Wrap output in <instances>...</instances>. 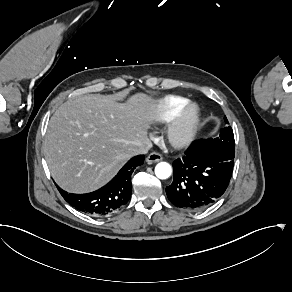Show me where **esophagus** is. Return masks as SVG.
<instances>
[{
    "label": "esophagus",
    "mask_w": 292,
    "mask_h": 292,
    "mask_svg": "<svg viewBox=\"0 0 292 292\" xmlns=\"http://www.w3.org/2000/svg\"><path fill=\"white\" fill-rule=\"evenodd\" d=\"M163 159L162 155L156 152L150 153L146 158L147 163L159 162Z\"/></svg>",
    "instance_id": "esophagus-1"
}]
</instances>
